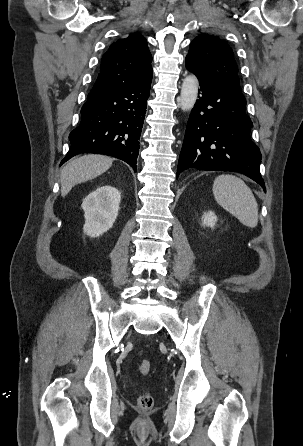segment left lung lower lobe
I'll return each mask as SVG.
<instances>
[{"mask_svg":"<svg viewBox=\"0 0 303 446\" xmlns=\"http://www.w3.org/2000/svg\"><path fill=\"white\" fill-rule=\"evenodd\" d=\"M186 68L198 77L200 91L186 126L177 176L189 168L233 171L250 177L265 191L261 153L250 138L253 124L243 94L187 62Z\"/></svg>","mask_w":303,"mask_h":446,"instance_id":"0a47b994","label":"left lung lower lobe"}]
</instances>
